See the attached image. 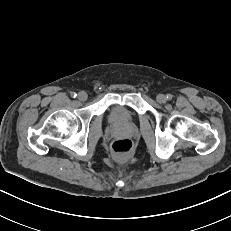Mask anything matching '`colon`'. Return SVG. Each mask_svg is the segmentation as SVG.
<instances>
[{
  "label": "colon",
  "instance_id": "colon-1",
  "mask_svg": "<svg viewBox=\"0 0 231 231\" xmlns=\"http://www.w3.org/2000/svg\"><path fill=\"white\" fill-rule=\"evenodd\" d=\"M133 149L131 140L122 138L117 139L112 143V151L119 158H125Z\"/></svg>",
  "mask_w": 231,
  "mask_h": 231
}]
</instances>
